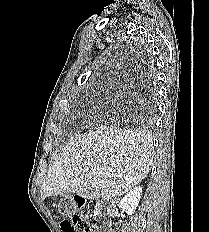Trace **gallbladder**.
Wrapping results in <instances>:
<instances>
[{"instance_id":"gallbladder-1","label":"gallbladder","mask_w":209,"mask_h":232,"mask_svg":"<svg viewBox=\"0 0 209 232\" xmlns=\"http://www.w3.org/2000/svg\"><path fill=\"white\" fill-rule=\"evenodd\" d=\"M64 196H68V194L66 193V194H64Z\"/></svg>"}]
</instances>
